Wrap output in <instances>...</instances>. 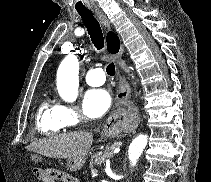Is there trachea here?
<instances>
[{"instance_id": "obj_1", "label": "trachea", "mask_w": 211, "mask_h": 182, "mask_svg": "<svg viewBox=\"0 0 211 182\" xmlns=\"http://www.w3.org/2000/svg\"><path fill=\"white\" fill-rule=\"evenodd\" d=\"M78 13L81 16L83 23L88 30V33L94 46L97 48V50H101L104 47V38L99 22L96 20L90 10H79ZM106 72L108 75L114 76V63H111L107 66Z\"/></svg>"}]
</instances>
